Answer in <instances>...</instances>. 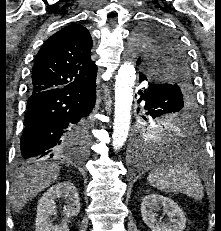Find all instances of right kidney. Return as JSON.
<instances>
[{"mask_svg": "<svg viewBox=\"0 0 221 231\" xmlns=\"http://www.w3.org/2000/svg\"><path fill=\"white\" fill-rule=\"evenodd\" d=\"M57 199H63L64 219L59 225H54L52 215L57 213ZM80 212V199L75 186L70 182H59L50 187L41 197L37 206L36 231H69L67 220Z\"/></svg>", "mask_w": 221, "mask_h": 231, "instance_id": "right-kidney-1", "label": "right kidney"}]
</instances>
